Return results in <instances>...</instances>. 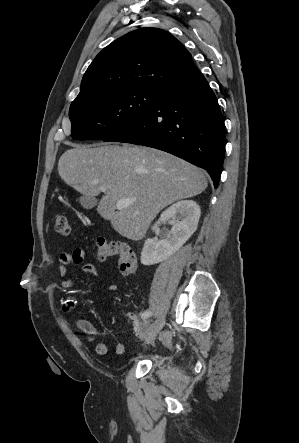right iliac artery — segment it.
I'll return each instance as SVG.
<instances>
[{
	"mask_svg": "<svg viewBox=\"0 0 299 443\" xmlns=\"http://www.w3.org/2000/svg\"><path fill=\"white\" fill-rule=\"evenodd\" d=\"M151 315H152V313H151L150 311H145V312H143V314L141 315V318H142L143 320H145V319L149 318Z\"/></svg>",
	"mask_w": 299,
	"mask_h": 443,
	"instance_id": "82829eb1",
	"label": "right iliac artery"
}]
</instances>
